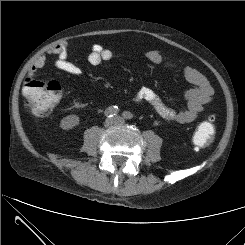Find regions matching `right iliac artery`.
Returning a JSON list of instances; mask_svg holds the SVG:
<instances>
[{
    "mask_svg": "<svg viewBox=\"0 0 245 245\" xmlns=\"http://www.w3.org/2000/svg\"><path fill=\"white\" fill-rule=\"evenodd\" d=\"M118 112H119V108L117 106H111L105 110L104 115L107 118H111V117L115 116Z\"/></svg>",
    "mask_w": 245,
    "mask_h": 245,
    "instance_id": "right-iliac-artery-1",
    "label": "right iliac artery"
}]
</instances>
